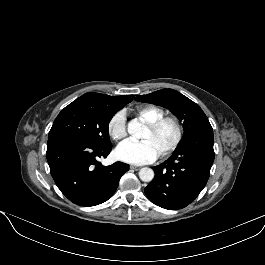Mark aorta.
<instances>
[{
	"label": "aorta",
	"instance_id": "aorta-1",
	"mask_svg": "<svg viewBox=\"0 0 265 265\" xmlns=\"http://www.w3.org/2000/svg\"><path fill=\"white\" fill-rule=\"evenodd\" d=\"M143 125L137 120H133L128 124V133L135 138L140 137ZM139 178L144 182H150L154 178V171L151 168L144 167L139 171Z\"/></svg>",
	"mask_w": 265,
	"mask_h": 265
}]
</instances>
